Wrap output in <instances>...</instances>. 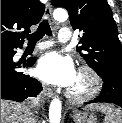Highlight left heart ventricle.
<instances>
[{"label":"left heart ventricle","mask_w":122,"mask_h":123,"mask_svg":"<svg viewBox=\"0 0 122 123\" xmlns=\"http://www.w3.org/2000/svg\"><path fill=\"white\" fill-rule=\"evenodd\" d=\"M88 86H89L88 77L84 74H77L76 80L70 89L76 93H81L85 91L88 88Z\"/></svg>","instance_id":"left-heart-ventricle-1"}]
</instances>
